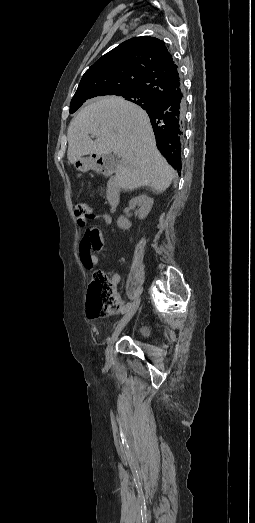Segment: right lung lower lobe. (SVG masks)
Instances as JSON below:
<instances>
[{
    "mask_svg": "<svg viewBox=\"0 0 255 523\" xmlns=\"http://www.w3.org/2000/svg\"><path fill=\"white\" fill-rule=\"evenodd\" d=\"M181 100L178 97L165 100L156 105L153 112L155 129L153 139L155 142L164 146V151L168 155H173L180 151L181 143L176 138L180 134V127L177 119V108L180 107ZM181 170V167L180 169Z\"/></svg>",
    "mask_w": 255,
    "mask_h": 523,
    "instance_id": "1",
    "label": "right lung lower lobe"
}]
</instances>
